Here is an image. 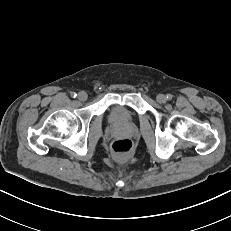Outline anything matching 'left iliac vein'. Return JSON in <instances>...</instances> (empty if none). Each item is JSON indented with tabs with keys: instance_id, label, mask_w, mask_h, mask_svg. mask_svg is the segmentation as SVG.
Here are the masks:
<instances>
[{
	"instance_id": "1",
	"label": "left iliac vein",
	"mask_w": 231,
	"mask_h": 231,
	"mask_svg": "<svg viewBox=\"0 0 231 231\" xmlns=\"http://www.w3.org/2000/svg\"><path fill=\"white\" fill-rule=\"evenodd\" d=\"M156 100L158 103H164L166 101V96L164 94H158Z\"/></svg>"
}]
</instances>
